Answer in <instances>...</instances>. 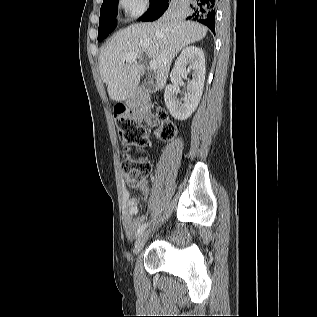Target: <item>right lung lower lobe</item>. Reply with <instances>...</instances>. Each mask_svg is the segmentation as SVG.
<instances>
[{
  "instance_id": "obj_1",
  "label": "right lung lower lobe",
  "mask_w": 317,
  "mask_h": 317,
  "mask_svg": "<svg viewBox=\"0 0 317 317\" xmlns=\"http://www.w3.org/2000/svg\"><path fill=\"white\" fill-rule=\"evenodd\" d=\"M172 0H161L148 14L141 18L142 21L158 19L168 8ZM191 15L187 19L196 20L215 34V0H190Z\"/></svg>"
}]
</instances>
